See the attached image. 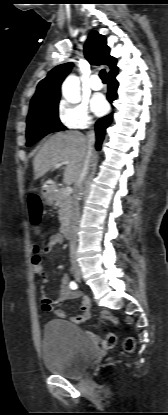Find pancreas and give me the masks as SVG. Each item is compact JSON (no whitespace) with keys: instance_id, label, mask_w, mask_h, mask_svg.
<instances>
[{"instance_id":"1","label":"pancreas","mask_w":168,"mask_h":415,"mask_svg":"<svg viewBox=\"0 0 168 415\" xmlns=\"http://www.w3.org/2000/svg\"><path fill=\"white\" fill-rule=\"evenodd\" d=\"M55 201L56 205L59 208V221L61 224H65L69 220L72 197L70 196V194H66L65 190H59L55 194Z\"/></svg>"}]
</instances>
